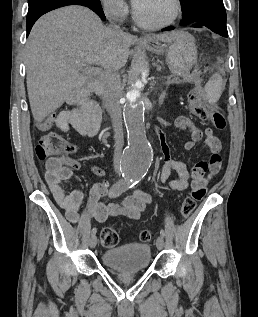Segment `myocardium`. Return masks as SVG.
<instances>
[{"mask_svg":"<svg viewBox=\"0 0 258 317\" xmlns=\"http://www.w3.org/2000/svg\"><path fill=\"white\" fill-rule=\"evenodd\" d=\"M151 1H153V0H141L135 4V6H134V21H135V23L138 26L144 28L145 30L151 31V32L160 31V30L166 29L167 27L171 26L175 22V20L177 19L179 12H180L179 1L178 0H169L174 4V14L168 21H166L165 23H163L157 27L148 28V27H145L141 23L140 17H139V10L143 4L151 2Z\"/></svg>","mask_w":258,"mask_h":317,"instance_id":"obj_1","label":"myocardium"}]
</instances>
